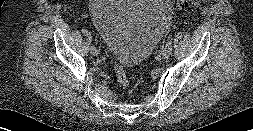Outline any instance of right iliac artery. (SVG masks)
<instances>
[{
  "label": "right iliac artery",
  "mask_w": 253,
  "mask_h": 131,
  "mask_svg": "<svg viewBox=\"0 0 253 131\" xmlns=\"http://www.w3.org/2000/svg\"><path fill=\"white\" fill-rule=\"evenodd\" d=\"M90 48H91L92 51H95L96 48H97V44H96L95 42H92V43L90 44Z\"/></svg>",
  "instance_id": "82829eb1"
}]
</instances>
